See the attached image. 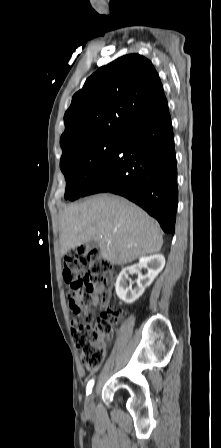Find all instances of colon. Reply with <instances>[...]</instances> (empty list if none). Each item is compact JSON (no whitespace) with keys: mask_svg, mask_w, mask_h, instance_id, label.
Here are the masks:
<instances>
[{"mask_svg":"<svg viewBox=\"0 0 221 448\" xmlns=\"http://www.w3.org/2000/svg\"><path fill=\"white\" fill-rule=\"evenodd\" d=\"M113 274L110 262L96 250L84 254L82 249L77 248L66 253L63 258V277L69 284V308L82 315V320L72 328V336L89 370H96L102 364L113 325L122 313L121 307L113 303L95 319L89 308L94 293L108 291Z\"/></svg>","mask_w":221,"mask_h":448,"instance_id":"5ec220e1","label":"colon"}]
</instances>
